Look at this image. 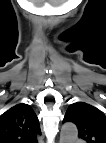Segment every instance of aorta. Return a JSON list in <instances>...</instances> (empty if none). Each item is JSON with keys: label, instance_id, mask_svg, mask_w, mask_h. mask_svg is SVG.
I'll return each mask as SVG.
<instances>
[{"label": "aorta", "instance_id": "aorta-1", "mask_svg": "<svg viewBox=\"0 0 106 143\" xmlns=\"http://www.w3.org/2000/svg\"><path fill=\"white\" fill-rule=\"evenodd\" d=\"M78 137V130L75 124L65 123L61 128L60 143H75Z\"/></svg>", "mask_w": 106, "mask_h": 143}]
</instances>
